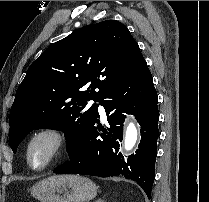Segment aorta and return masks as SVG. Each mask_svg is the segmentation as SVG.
<instances>
[{
    "label": "aorta",
    "instance_id": "762f6f07",
    "mask_svg": "<svg viewBox=\"0 0 209 202\" xmlns=\"http://www.w3.org/2000/svg\"><path fill=\"white\" fill-rule=\"evenodd\" d=\"M138 138V132L133 123H129L127 126L125 137H124V148L126 150H131L136 144Z\"/></svg>",
    "mask_w": 209,
    "mask_h": 202
}]
</instances>
